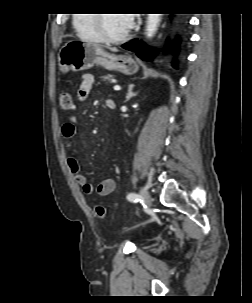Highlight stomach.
I'll return each instance as SVG.
<instances>
[{
	"mask_svg": "<svg viewBox=\"0 0 252 303\" xmlns=\"http://www.w3.org/2000/svg\"><path fill=\"white\" fill-rule=\"evenodd\" d=\"M58 64L63 73L89 69L95 64L125 75H133L139 70L138 63L129 56L113 55L93 43L78 40L64 44L58 54Z\"/></svg>",
	"mask_w": 252,
	"mask_h": 303,
	"instance_id": "stomach-1",
	"label": "stomach"
}]
</instances>
